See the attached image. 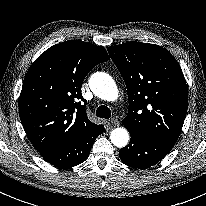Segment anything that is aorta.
<instances>
[{
    "label": "aorta",
    "mask_w": 206,
    "mask_h": 206,
    "mask_svg": "<svg viewBox=\"0 0 206 206\" xmlns=\"http://www.w3.org/2000/svg\"><path fill=\"white\" fill-rule=\"evenodd\" d=\"M90 88L99 98L106 101H115L118 98V89L112 77L103 72L94 73L90 78ZM110 139L113 145L122 148L128 144L129 133L125 128H115Z\"/></svg>",
    "instance_id": "762f6f07"
}]
</instances>
